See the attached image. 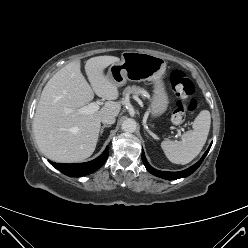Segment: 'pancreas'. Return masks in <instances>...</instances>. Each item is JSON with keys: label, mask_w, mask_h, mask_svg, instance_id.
Returning <instances> with one entry per match:
<instances>
[{"label": "pancreas", "mask_w": 248, "mask_h": 248, "mask_svg": "<svg viewBox=\"0 0 248 248\" xmlns=\"http://www.w3.org/2000/svg\"><path fill=\"white\" fill-rule=\"evenodd\" d=\"M130 94L141 95V96H144V97L149 96L148 92L145 89H143V88H141L139 86H135V85L128 86V87H126L124 89V91H123V96L124 97H127Z\"/></svg>", "instance_id": "pancreas-1"}]
</instances>
